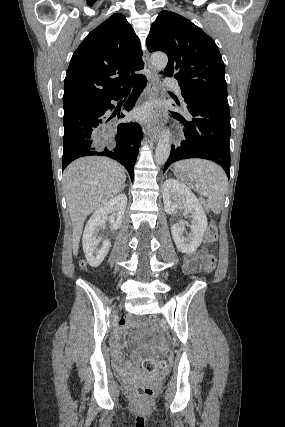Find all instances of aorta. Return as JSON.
I'll return each instance as SVG.
<instances>
[{"mask_svg":"<svg viewBox=\"0 0 285 427\" xmlns=\"http://www.w3.org/2000/svg\"><path fill=\"white\" fill-rule=\"evenodd\" d=\"M168 57L166 54L161 52H156L151 55V64L155 70L158 72H163L167 66ZM165 93V91H163ZM165 98V96H162ZM167 116V113L165 112ZM171 150L170 145V132L168 130H163L158 141L156 151H155V162L158 165H163L169 158Z\"/></svg>","mask_w":285,"mask_h":427,"instance_id":"aorta-1","label":"aorta"}]
</instances>
